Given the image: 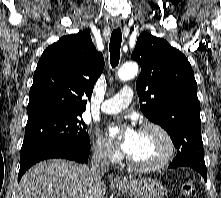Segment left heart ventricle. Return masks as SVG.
Masks as SVG:
<instances>
[{"instance_id": "b2bd125f", "label": "left heart ventricle", "mask_w": 221, "mask_h": 198, "mask_svg": "<svg viewBox=\"0 0 221 198\" xmlns=\"http://www.w3.org/2000/svg\"><path fill=\"white\" fill-rule=\"evenodd\" d=\"M164 152L163 138L154 130H144L138 132L137 141L128 155L139 164H152L158 161Z\"/></svg>"}]
</instances>
